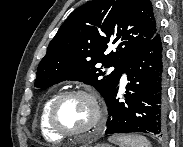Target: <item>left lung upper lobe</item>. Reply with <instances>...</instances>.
Segmentation results:
<instances>
[{
  "label": "left lung upper lobe",
  "instance_id": "5c2ea615",
  "mask_svg": "<svg viewBox=\"0 0 183 147\" xmlns=\"http://www.w3.org/2000/svg\"><path fill=\"white\" fill-rule=\"evenodd\" d=\"M157 32L150 0L90 1L69 15L50 42L34 86L83 81L107 101L127 59ZM108 43L115 48L108 50ZM110 67L115 69L106 72Z\"/></svg>",
  "mask_w": 183,
  "mask_h": 147
}]
</instances>
